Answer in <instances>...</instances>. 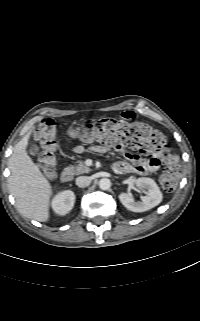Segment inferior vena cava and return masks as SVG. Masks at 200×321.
<instances>
[{
	"label": "inferior vena cava",
	"instance_id": "obj_1",
	"mask_svg": "<svg viewBox=\"0 0 200 321\" xmlns=\"http://www.w3.org/2000/svg\"><path fill=\"white\" fill-rule=\"evenodd\" d=\"M91 183V179L88 176H79L76 178V185L80 188H84L89 186Z\"/></svg>",
	"mask_w": 200,
	"mask_h": 321
}]
</instances>
